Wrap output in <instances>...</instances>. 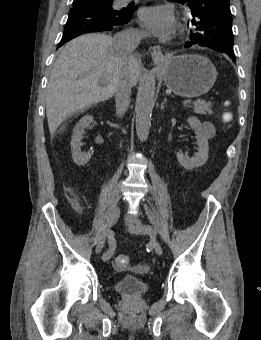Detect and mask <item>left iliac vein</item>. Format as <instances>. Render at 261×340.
Returning a JSON list of instances; mask_svg holds the SVG:
<instances>
[{"mask_svg":"<svg viewBox=\"0 0 261 340\" xmlns=\"http://www.w3.org/2000/svg\"><path fill=\"white\" fill-rule=\"evenodd\" d=\"M125 222L127 225V230L129 232L138 234V235H146L147 232L142 229L143 224L139 220L126 216ZM151 245L158 255H162L163 253L162 247L155 238L151 239Z\"/></svg>","mask_w":261,"mask_h":340,"instance_id":"1","label":"left iliac vein"}]
</instances>
